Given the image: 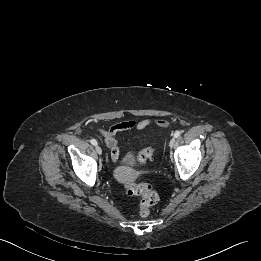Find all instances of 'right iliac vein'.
Listing matches in <instances>:
<instances>
[{
  "instance_id": "63e3f726",
  "label": "right iliac vein",
  "mask_w": 261,
  "mask_h": 261,
  "mask_svg": "<svg viewBox=\"0 0 261 261\" xmlns=\"http://www.w3.org/2000/svg\"><path fill=\"white\" fill-rule=\"evenodd\" d=\"M96 151H97V153H98L99 155L102 154V149H101L100 146H96Z\"/></svg>"
}]
</instances>
